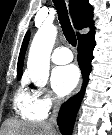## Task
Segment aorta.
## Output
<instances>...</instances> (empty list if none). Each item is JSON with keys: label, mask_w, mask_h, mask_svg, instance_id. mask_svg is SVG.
<instances>
[{"label": "aorta", "mask_w": 112, "mask_h": 135, "mask_svg": "<svg viewBox=\"0 0 112 135\" xmlns=\"http://www.w3.org/2000/svg\"><path fill=\"white\" fill-rule=\"evenodd\" d=\"M57 36L54 25L42 26L35 34L27 61V69L32 82L44 87L49 78V59Z\"/></svg>", "instance_id": "762f6f07"}]
</instances>
